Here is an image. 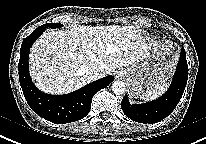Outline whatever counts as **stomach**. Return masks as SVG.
I'll return each instance as SVG.
<instances>
[{
  "label": "stomach",
  "instance_id": "1",
  "mask_svg": "<svg viewBox=\"0 0 206 144\" xmlns=\"http://www.w3.org/2000/svg\"><path fill=\"white\" fill-rule=\"evenodd\" d=\"M176 59L177 53L169 43L149 47L137 62L122 71L131 96L141 98L165 84L173 73Z\"/></svg>",
  "mask_w": 206,
  "mask_h": 144
}]
</instances>
